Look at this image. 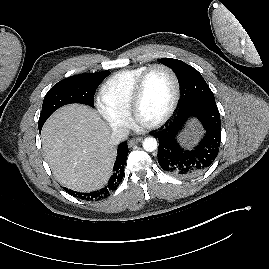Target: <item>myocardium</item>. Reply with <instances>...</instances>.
<instances>
[{"instance_id": "f54148a6", "label": "myocardium", "mask_w": 269, "mask_h": 269, "mask_svg": "<svg viewBox=\"0 0 269 269\" xmlns=\"http://www.w3.org/2000/svg\"><path fill=\"white\" fill-rule=\"evenodd\" d=\"M156 69H162L170 74V76L173 80V83H174V96H173V99L171 101L169 108L159 119H157L153 122L145 123L139 117V106H140L141 98L143 95L146 79L149 76V74ZM180 97H181V84H180V80H179L176 72L171 67H169L167 65L153 64V65L149 66L139 76V78L134 86L131 101H130V113H131L132 117L134 118V120L136 121V123H138L142 127L148 128V129L158 128V127L162 126L163 124H165L172 117V115L174 114V112L178 106V103L180 101Z\"/></svg>"}]
</instances>
